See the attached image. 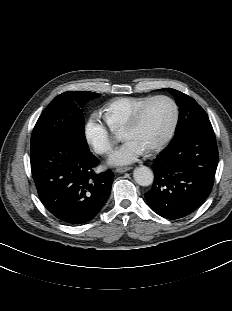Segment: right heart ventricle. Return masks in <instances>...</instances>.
Returning <instances> with one entry per match:
<instances>
[{
	"label": "right heart ventricle",
	"instance_id": "1",
	"mask_svg": "<svg viewBox=\"0 0 232 311\" xmlns=\"http://www.w3.org/2000/svg\"><path fill=\"white\" fill-rule=\"evenodd\" d=\"M149 98L151 97L124 96L110 100L104 107L108 126L113 131L123 130L137 108Z\"/></svg>",
	"mask_w": 232,
	"mask_h": 311
}]
</instances>
